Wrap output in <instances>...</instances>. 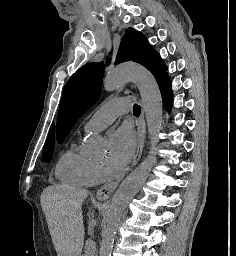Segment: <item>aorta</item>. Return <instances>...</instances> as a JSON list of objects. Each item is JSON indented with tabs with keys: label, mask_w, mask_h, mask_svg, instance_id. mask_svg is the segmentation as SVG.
Segmentation results:
<instances>
[{
	"label": "aorta",
	"mask_w": 236,
	"mask_h": 256,
	"mask_svg": "<svg viewBox=\"0 0 236 256\" xmlns=\"http://www.w3.org/2000/svg\"><path fill=\"white\" fill-rule=\"evenodd\" d=\"M128 81H132L137 86L142 97L150 135V151L143 162L120 184L111 200L108 223L102 231L99 256H111L122 214L130 200L147 180L156 162L158 135L162 129V97L154 76L147 69L135 64L120 65L105 76L103 88L105 91H113ZM90 143L95 149L101 147V142L96 138Z\"/></svg>",
	"instance_id": "1"
}]
</instances>
